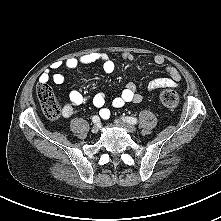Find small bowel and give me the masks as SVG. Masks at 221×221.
Wrapping results in <instances>:
<instances>
[{"instance_id":"small-bowel-1","label":"small bowel","mask_w":221,"mask_h":221,"mask_svg":"<svg viewBox=\"0 0 221 221\" xmlns=\"http://www.w3.org/2000/svg\"><path fill=\"white\" fill-rule=\"evenodd\" d=\"M122 58L128 62L133 63L135 56L130 52H123ZM100 62L102 64L103 71L106 74H110L114 71L115 64L110 55L106 52H90L77 57H71L64 62H56L53 65V69L57 70L62 67L73 70L80 65L92 64ZM154 62L157 65H163L165 59L161 55H157L154 58ZM166 72L168 77L157 78L152 80L148 85L149 91H154L159 88H175L181 81V74L172 65L166 66ZM52 81L56 85H61L65 82V75L61 72H56L50 75L49 72H43L39 77V83H48ZM89 98L84 96L78 90H72L69 93V101L64 105L62 109V115L65 118H69L76 113V108L82 104H85ZM142 100L141 95L137 92L136 85L133 82H129L126 87L121 91L118 96H115L111 100L112 107L119 109L125 106L127 103H139ZM92 104L100 109L99 115L102 119H108L111 115L110 110L105 107L107 97L103 93H98L91 98Z\"/></svg>"}]
</instances>
